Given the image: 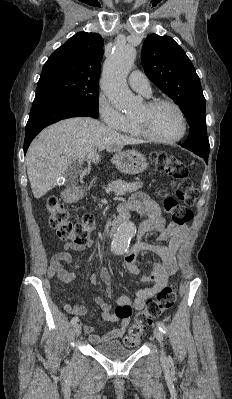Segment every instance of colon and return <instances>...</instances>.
<instances>
[{
	"mask_svg": "<svg viewBox=\"0 0 232 399\" xmlns=\"http://www.w3.org/2000/svg\"><path fill=\"white\" fill-rule=\"evenodd\" d=\"M152 163L158 165L159 172H170L175 180L177 191H172V196L177 198H161L160 202L164 203V212L169 213V218H176V222H192L193 213L191 209L195 204L191 203L193 196H199V191H195L196 187L192 186L190 180V164L183 160L174 159L166 153L154 151L150 155ZM46 212L45 218L49 221L50 227L56 231L58 239H73V244H89L90 236L84 227H90V232H95L93 227L94 215H81L82 222L66 223L63 219H68V211H57L58 202L54 198H49L45 202ZM176 284H169L168 289H159L161 296H148L147 300L152 301L146 304V309L137 311L139 316L137 324L132 325V329L123 337L125 347H138V341L147 333L155 316H161V312H167L175 306L176 293L172 289H176Z\"/></svg>",
	"mask_w": 232,
	"mask_h": 399,
	"instance_id": "5ec220e1",
	"label": "colon"
}]
</instances>
